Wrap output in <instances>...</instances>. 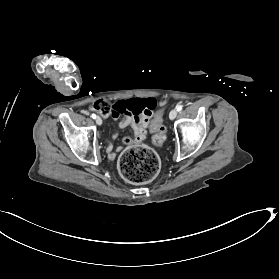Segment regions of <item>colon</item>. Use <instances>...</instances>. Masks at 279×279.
I'll use <instances>...</instances> for the list:
<instances>
[{
	"label": "colon",
	"mask_w": 279,
	"mask_h": 279,
	"mask_svg": "<svg viewBox=\"0 0 279 279\" xmlns=\"http://www.w3.org/2000/svg\"><path fill=\"white\" fill-rule=\"evenodd\" d=\"M156 103L152 99H132L111 104L105 100H97L92 109L101 115L108 116L114 112L119 114L139 115L152 112ZM152 141L161 146L166 140V128L163 125V117L156 113L152 123ZM119 170L122 177L135 184L151 181L160 170V161L157 154L146 147H134L124 151L119 160Z\"/></svg>",
	"instance_id": "obj_1"
}]
</instances>
